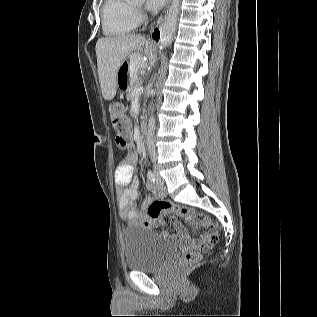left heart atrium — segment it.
<instances>
[{"label":"left heart atrium","mask_w":317,"mask_h":317,"mask_svg":"<svg viewBox=\"0 0 317 317\" xmlns=\"http://www.w3.org/2000/svg\"><path fill=\"white\" fill-rule=\"evenodd\" d=\"M166 0H147L146 7L150 11H156L164 6Z\"/></svg>","instance_id":"39dd6f15"}]
</instances>
